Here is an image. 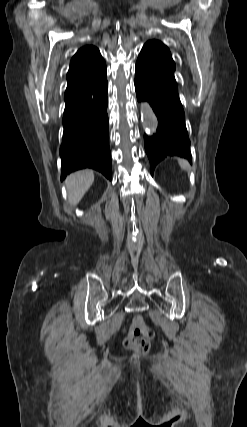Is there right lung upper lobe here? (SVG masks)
Wrapping results in <instances>:
<instances>
[{"label":"right lung upper lobe","mask_w":247,"mask_h":427,"mask_svg":"<svg viewBox=\"0 0 247 427\" xmlns=\"http://www.w3.org/2000/svg\"><path fill=\"white\" fill-rule=\"evenodd\" d=\"M106 67L99 50L94 46H84L73 56L67 73V87L85 81Z\"/></svg>","instance_id":"cb5924a9"}]
</instances>
